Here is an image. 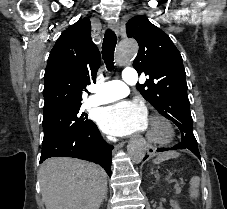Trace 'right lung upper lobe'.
<instances>
[{
	"label": "right lung upper lobe",
	"mask_w": 227,
	"mask_h": 209,
	"mask_svg": "<svg viewBox=\"0 0 227 209\" xmlns=\"http://www.w3.org/2000/svg\"><path fill=\"white\" fill-rule=\"evenodd\" d=\"M100 60L91 39L90 20L79 19L61 34L50 52L44 75L45 102L82 100L83 89L96 78Z\"/></svg>",
	"instance_id": "right-lung-upper-lobe-1"
}]
</instances>
